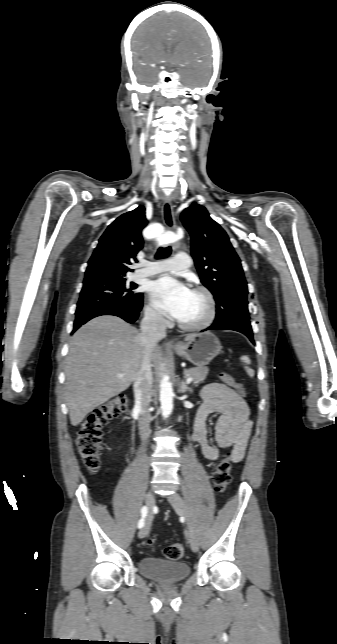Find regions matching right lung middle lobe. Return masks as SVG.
Instances as JSON below:
<instances>
[{"label":"right lung middle lobe","mask_w":337,"mask_h":644,"mask_svg":"<svg viewBox=\"0 0 337 644\" xmlns=\"http://www.w3.org/2000/svg\"><path fill=\"white\" fill-rule=\"evenodd\" d=\"M136 288L137 285L134 283L128 285L125 278H98L84 281L75 314L135 303L143 296L142 293L133 291Z\"/></svg>","instance_id":"right-lung-middle-lobe-1"}]
</instances>
